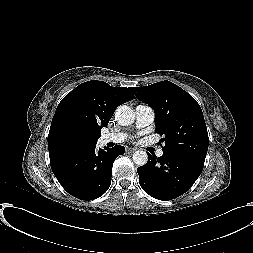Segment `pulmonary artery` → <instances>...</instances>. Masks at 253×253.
Returning a JSON list of instances; mask_svg holds the SVG:
<instances>
[{
  "instance_id": "1",
  "label": "pulmonary artery",
  "mask_w": 253,
  "mask_h": 253,
  "mask_svg": "<svg viewBox=\"0 0 253 253\" xmlns=\"http://www.w3.org/2000/svg\"><path fill=\"white\" fill-rule=\"evenodd\" d=\"M135 115H136V127L137 128H144L151 125L155 119V113L153 109L147 105L139 104L135 108ZM127 138V134L123 132L119 133H108L104 134L100 138L101 144L107 143H121ZM158 157L163 155V150L158 149L156 152Z\"/></svg>"
}]
</instances>
